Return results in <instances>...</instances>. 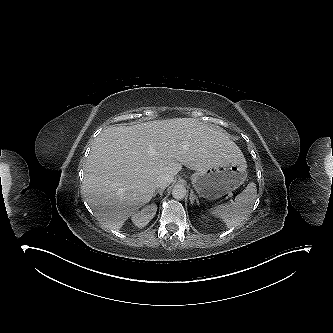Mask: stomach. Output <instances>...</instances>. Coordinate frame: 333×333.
I'll use <instances>...</instances> for the list:
<instances>
[{"instance_id":"1","label":"stomach","mask_w":333,"mask_h":333,"mask_svg":"<svg viewBox=\"0 0 333 333\" xmlns=\"http://www.w3.org/2000/svg\"><path fill=\"white\" fill-rule=\"evenodd\" d=\"M247 177L244 158L196 171L191 176L194 190L200 197L215 200L239 188Z\"/></svg>"}]
</instances>
